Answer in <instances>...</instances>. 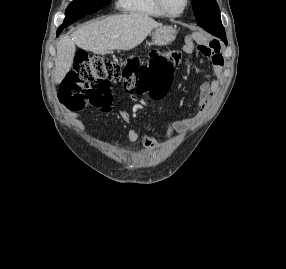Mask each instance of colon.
Listing matches in <instances>:
<instances>
[{
  "label": "colon",
  "instance_id": "colon-1",
  "mask_svg": "<svg viewBox=\"0 0 286 269\" xmlns=\"http://www.w3.org/2000/svg\"><path fill=\"white\" fill-rule=\"evenodd\" d=\"M207 46L199 44L198 49ZM175 51L153 49L149 61L140 62L135 57L124 61L96 56L79 50L61 90L59 100L69 110L77 111L87 102L107 106L110 102V84L122 83L131 94H147L151 98L163 95L172 83Z\"/></svg>",
  "mask_w": 286,
  "mask_h": 269
}]
</instances>
